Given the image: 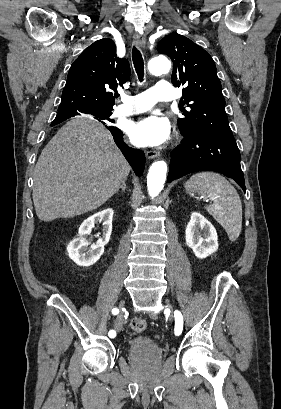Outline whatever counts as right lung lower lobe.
I'll return each instance as SVG.
<instances>
[{"instance_id": "1", "label": "right lung lower lobe", "mask_w": 281, "mask_h": 409, "mask_svg": "<svg viewBox=\"0 0 281 409\" xmlns=\"http://www.w3.org/2000/svg\"><path fill=\"white\" fill-rule=\"evenodd\" d=\"M81 112L86 114H92L94 116L97 115V112L88 111ZM75 115H79V112H74L72 110L58 111V114L55 119L65 120ZM108 129L111 131L116 145L120 148L128 162L134 169L136 175L138 176L142 175L145 167V155L143 151L128 147L127 144L123 141V133L118 128L109 127Z\"/></svg>"}]
</instances>
